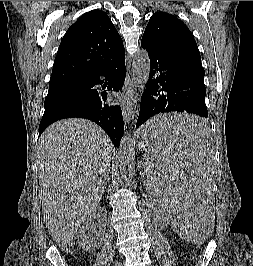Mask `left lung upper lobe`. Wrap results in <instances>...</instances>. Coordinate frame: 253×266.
Returning a JSON list of instances; mask_svg holds the SVG:
<instances>
[{"label": "left lung upper lobe", "mask_w": 253, "mask_h": 266, "mask_svg": "<svg viewBox=\"0 0 253 266\" xmlns=\"http://www.w3.org/2000/svg\"><path fill=\"white\" fill-rule=\"evenodd\" d=\"M142 39L159 45L185 47L200 54L188 27L175 16L165 12L152 15Z\"/></svg>", "instance_id": "left-lung-upper-lobe-1"}]
</instances>
